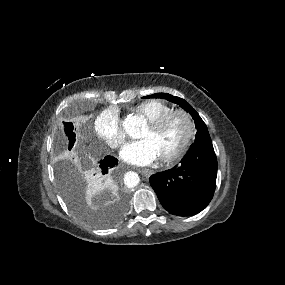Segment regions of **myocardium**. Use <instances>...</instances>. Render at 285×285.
I'll use <instances>...</instances> for the list:
<instances>
[{"mask_svg": "<svg viewBox=\"0 0 285 285\" xmlns=\"http://www.w3.org/2000/svg\"><path fill=\"white\" fill-rule=\"evenodd\" d=\"M175 117H181L185 121L187 125V133L180 146L174 152L160 157V160L164 164H173L179 161L187 153L197 132L196 124L192 116L182 109H172L155 119L149 120L148 122V125H150L153 129L158 130L163 128Z\"/></svg>", "mask_w": 285, "mask_h": 285, "instance_id": "obj_1", "label": "myocardium"}]
</instances>
